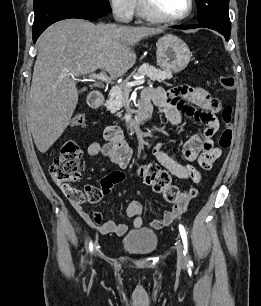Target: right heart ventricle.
Instances as JSON below:
<instances>
[{
  "label": "right heart ventricle",
  "instance_id": "right-heart-ventricle-1",
  "mask_svg": "<svg viewBox=\"0 0 261 306\" xmlns=\"http://www.w3.org/2000/svg\"><path fill=\"white\" fill-rule=\"evenodd\" d=\"M135 9H136L137 15H138L139 17L144 18V19H147V20H153V19L149 18V17L141 10L138 0H136Z\"/></svg>",
  "mask_w": 261,
  "mask_h": 306
}]
</instances>
